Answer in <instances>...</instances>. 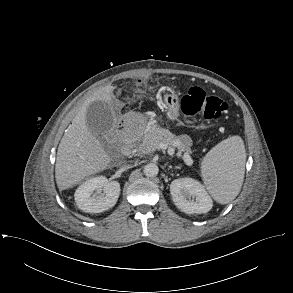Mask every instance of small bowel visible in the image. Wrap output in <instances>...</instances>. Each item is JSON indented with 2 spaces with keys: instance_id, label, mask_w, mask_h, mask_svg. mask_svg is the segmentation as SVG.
<instances>
[{
  "instance_id": "small-bowel-1",
  "label": "small bowel",
  "mask_w": 293,
  "mask_h": 293,
  "mask_svg": "<svg viewBox=\"0 0 293 293\" xmlns=\"http://www.w3.org/2000/svg\"><path fill=\"white\" fill-rule=\"evenodd\" d=\"M179 143L186 150L189 149L190 145H191V141H190L189 137L185 136V135H183L179 138Z\"/></svg>"
}]
</instances>
